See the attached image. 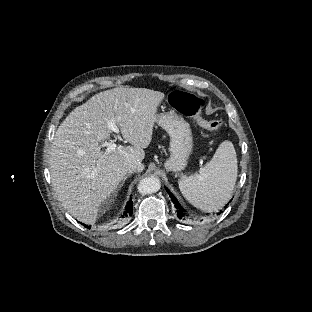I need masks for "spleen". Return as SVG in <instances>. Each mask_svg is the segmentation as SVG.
<instances>
[{"label": "spleen", "mask_w": 312, "mask_h": 312, "mask_svg": "<svg viewBox=\"0 0 312 312\" xmlns=\"http://www.w3.org/2000/svg\"><path fill=\"white\" fill-rule=\"evenodd\" d=\"M237 156L230 141L222 142L210 162L189 177L182 176L179 189L196 208L211 212L231 198L237 179Z\"/></svg>", "instance_id": "obj_1"}]
</instances>
